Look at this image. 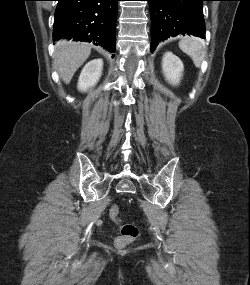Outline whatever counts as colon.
Wrapping results in <instances>:
<instances>
[{
  "label": "colon",
  "mask_w": 250,
  "mask_h": 285,
  "mask_svg": "<svg viewBox=\"0 0 250 285\" xmlns=\"http://www.w3.org/2000/svg\"><path fill=\"white\" fill-rule=\"evenodd\" d=\"M111 219L118 223L119 222V207L113 205L109 210ZM139 235V230L136 225L132 223H126L120 225V235L116 238L115 243L119 248H123L128 244L132 243Z\"/></svg>",
  "instance_id": "5ec220e1"
}]
</instances>
